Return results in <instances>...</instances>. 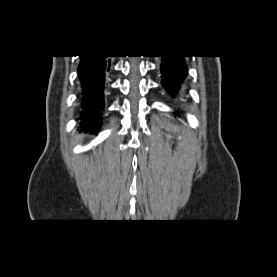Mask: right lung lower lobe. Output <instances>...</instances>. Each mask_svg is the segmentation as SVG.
<instances>
[{"instance_id": "right-lung-lower-lobe-1", "label": "right lung lower lobe", "mask_w": 277, "mask_h": 277, "mask_svg": "<svg viewBox=\"0 0 277 277\" xmlns=\"http://www.w3.org/2000/svg\"><path fill=\"white\" fill-rule=\"evenodd\" d=\"M106 56H81L78 75L82 88L81 124L88 130L99 131L100 114L104 108V79L110 69Z\"/></svg>"}]
</instances>
